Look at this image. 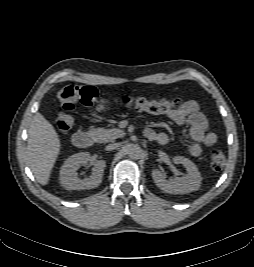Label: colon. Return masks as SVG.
<instances>
[{
  "label": "colon",
  "instance_id": "colon-1",
  "mask_svg": "<svg viewBox=\"0 0 254 267\" xmlns=\"http://www.w3.org/2000/svg\"><path fill=\"white\" fill-rule=\"evenodd\" d=\"M57 100L64 110V112L58 114L54 121V127L59 132H66L75 125L76 119L70 112L75 109L77 104L95 106L99 110H107L110 106L109 101L99 96L95 87L88 85H66L59 91ZM117 103L122 107L134 108L152 115L169 114L179 106L178 99L167 97L148 99L124 96L118 99ZM225 161V155L221 150L214 149L210 152L209 164L213 170H221L225 165Z\"/></svg>",
  "mask_w": 254,
  "mask_h": 267
}]
</instances>
